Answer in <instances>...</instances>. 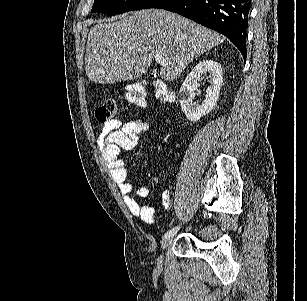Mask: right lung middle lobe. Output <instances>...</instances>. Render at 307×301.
Here are the masks:
<instances>
[{
    "instance_id": "dd1d6c3e",
    "label": "right lung middle lobe",
    "mask_w": 307,
    "mask_h": 301,
    "mask_svg": "<svg viewBox=\"0 0 307 301\" xmlns=\"http://www.w3.org/2000/svg\"><path fill=\"white\" fill-rule=\"evenodd\" d=\"M150 2L152 0H94L91 11L116 15L127 11L143 9Z\"/></svg>"
}]
</instances>
